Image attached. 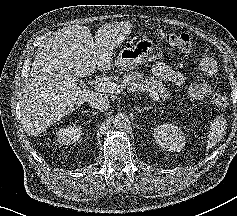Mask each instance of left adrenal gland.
Here are the masks:
<instances>
[{"label": "left adrenal gland", "instance_id": "1", "mask_svg": "<svg viewBox=\"0 0 237 216\" xmlns=\"http://www.w3.org/2000/svg\"><path fill=\"white\" fill-rule=\"evenodd\" d=\"M137 111H138V113L140 114L143 110H146V108H135Z\"/></svg>", "mask_w": 237, "mask_h": 216}]
</instances>
